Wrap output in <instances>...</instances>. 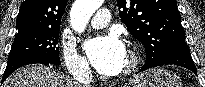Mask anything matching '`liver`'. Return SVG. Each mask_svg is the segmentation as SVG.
<instances>
[{
	"mask_svg": "<svg viewBox=\"0 0 205 87\" xmlns=\"http://www.w3.org/2000/svg\"><path fill=\"white\" fill-rule=\"evenodd\" d=\"M3 87H81L77 82L52 71L48 66H25L11 74Z\"/></svg>",
	"mask_w": 205,
	"mask_h": 87,
	"instance_id": "1",
	"label": "liver"
}]
</instances>
